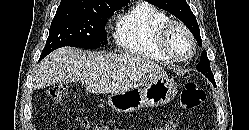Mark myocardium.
<instances>
[{
    "mask_svg": "<svg viewBox=\"0 0 249 130\" xmlns=\"http://www.w3.org/2000/svg\"><path fill=\"white\" fill-rule=\"evenodd\" d=\"M175 30H181L184 32V34L187 36V38L190 41L191 44V51L189 55L185 58H179L176 55L172 53L169 46V41L171 38V35ZM158 46L161 51V53L169 59L171 62L176 63H184L189 61L196 52V41L192 34V32L189 30V28L184 25L183 23L179 21L170 20L168 23H166L159 31L158 34Z\"/></svg>",
    "mask_w": 249,
    "mask_h": 130,
    "instance_id": "f54148a6",
    "label": "myocardium"
}]
</instances>
